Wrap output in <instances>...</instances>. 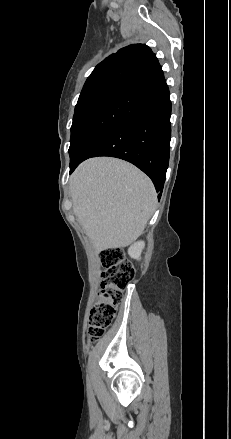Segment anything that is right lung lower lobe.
Here are the masks:
<instances>
[{"instance_id": "obj_1", "label": "right lung lower lobe", "mask_w": 231, "mask_h": 439, "mask_svg": "<svg viewBox=\"0 0 231 439\" xmlns=\"http://www.w3.org/2000/svg\"><path fill=\"white\" fill-rule=\"evenodd\" d=\"M135 97L141 112L117 122L96 136L83 154L70 163V173L87 158L117 157L146 173L156 191L160 192V198L169 163L171 138V102L165 79L140 90Z\"/></svg>"}]
</instances>
